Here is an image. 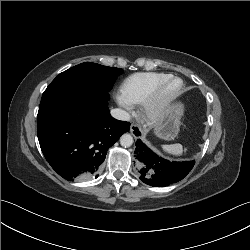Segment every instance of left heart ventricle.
<instances>
[{
	"label": "left heart ventricle",
	"instance_id": "1",
	"mask_svg": "<svg viewBox=\"0 0 250 250\" xmlns=\"http://www.w3.org/2000/svg\"><path fill=\"white\" fill-rule=\"evenodd\" d=\"M179 86V82L178 81H174L172 82L166 89V93H171L173 91H175Z\"/></svg>",
	"mask_w": 250,
	"mask_h": 250
}]
</instances>
